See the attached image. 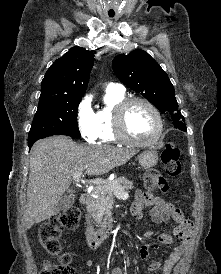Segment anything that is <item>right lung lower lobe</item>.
<instances>
[{
    "label": "right lung lower lobe",
    "mask_w": 221,
    "mask_h": 274,
    "mask_svg": "<svg viewBox=\"0 0 221 274\" xmlns=\"http://www.w3.org/2000/svg\"><path fill=\"white\" fill-rule=\"evenodd\" d=\"M33 144H34V142L33 143H29L28 145H29V147H32Z\"/></svg>",
    "instance_id": "obj_1"
}]
</instances>
